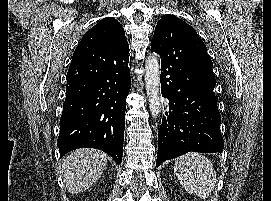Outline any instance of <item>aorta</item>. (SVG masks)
Segmentation results:
<instances>
[{"label": "aorta", "mask_w": 271, "mask_h": 201, "mask_svg": "<svg viewBox=\"0 0 271 201\" xmlns=\"http://www.w3.org/2000/svg\"><path fill=\"white\" fill-rule=\"evenodd\" d=\"M145 87L153 118L160 113V66L156 54H150L145 62Z\"/></svg>", "instance_id": "aorta-1"}]
</instances>
